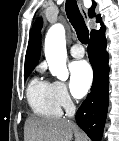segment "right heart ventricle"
I'll return each mask as SVG.
<instances>
[{
	"label": "right heart ventricle",
	"instance_id": "e07e8e85",
	"mask_svg": "<svg viewBox=\"0 0 119 141\" xmlns=\"http://www.w3.org/2000/svg\"><path fill=\"white\" fill-rule=\"evenodd\" d=\"M27 99L32 111L39 116L57 118L61 115V105L55 95L53 83L35 77L27 88Z\"/></svg>",
	"mask_w": 119,
	"mask_h": 141
}]
</instances>
